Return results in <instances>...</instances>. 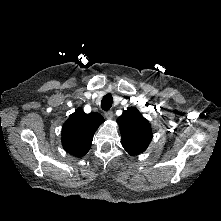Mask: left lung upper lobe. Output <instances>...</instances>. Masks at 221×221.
<instances>
[{
    "label": "left lung upper lobe",
    "instance_id": "1",
    "mask_svg": "<svg viewBox=\"0 0 221 221\" xmlns=\"http://www.w3.org/2000/svg\"><path fill=\"white\" fill-rule=\"evenodd\" d=\"M122 136L121 144L130 155H138L152 140L151 125L134 107L123 111L117 119Z\"/></svg>",
    "mask_w": 221,
    "mask_h": 221
}]
</instances>
